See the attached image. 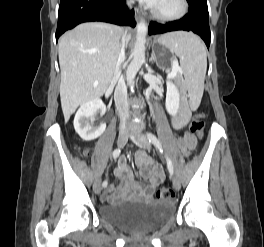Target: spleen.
I'll use <instances>...</instances> for the list:
<instances>
[{"instance_id":"obj_1","label":"spleen","mask_w":264,"mask_h":247,"mask_svg":"<svg viewBox=\"0 0 264 247\" xmlns=\"http://www.w3.org/2000/svg\"><path fill=\"white\" fill-rule=\"evenodd\" d=\"M160 41L179 58L189 97L200 102L207 69L206 48L201 39L193 33L179 31L161 36Z\"/></svg>"}]
</instances>
